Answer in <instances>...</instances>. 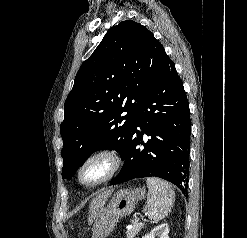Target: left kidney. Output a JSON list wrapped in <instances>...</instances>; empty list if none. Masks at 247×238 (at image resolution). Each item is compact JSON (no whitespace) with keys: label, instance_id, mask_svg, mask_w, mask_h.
<instances>
[{"label":"left kidney","instance_id":"1","mask_svg":"<svg viewBox=\"0 0 247 238\" xmlns=\"http://www.w3.org/2000/svg\"><path fill=\"white\" fill-rule=\"evenodd\" d=\"M168 234V224L164 223L154 228L150 233L144 235L142 238H155L156 236H158L159 238H169Z\"/></svg>","mask_w":247,"mask_h":238}]
</instances>
